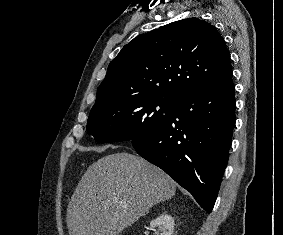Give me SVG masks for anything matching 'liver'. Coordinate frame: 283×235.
Segmentation results:
<instances>
[{
    "label": "liver",
    "mask_w": 283,
    "mask_h": 235,
    "mask_svg": "<svg viewBox=\"0 0 283 235\" xmlns=\"http://www.w3.org/2000/svg\"><path fill=\"white\" fill-rule=\"evenodd\" d=\"M175 192L174 180L145 159L127 152L104 156L88 167L71 197L69 235H119Z\"/></svg>",
    "instance_id": "obj_1"
}]
</instances>
